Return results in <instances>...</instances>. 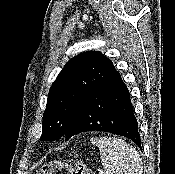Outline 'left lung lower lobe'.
I'll use <instances>...</instances> for the list:
<instances>
[{
	"instance_id": "obj_1",
	"label": "left lung lower lobe",
	"mask_w": 175,
	"mask_h": 174,
	"mask_svg": "<svg viewBox=\"0 0 175 174\" xmlns=\"http://www.w3.org/2000/svg\"><path fill=\"white\" fill-rule=\"evenodd\" d=\"M86 131H104L131 139L141 148L138 123L127 86L116 70L77 104L65 138Z\"/></svg>"
}]
</instances>
